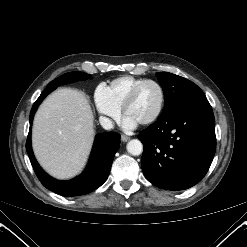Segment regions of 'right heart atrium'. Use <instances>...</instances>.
<instances>
[{"label":"right heart atrium","mask_w":247,"mask_h":247,"mask_svg":"<svg viewBox=\"0 0 247 247\" xmlns=\"http://www.w3.org/2000/svg\"><path fill=\"white\" fill-rule=\"evenodd\" d=\"M94 101L97 111L106 121L111 122L119 118L120 108L113 103L105 86L100 85L96 88Z\"/></svg>","instance_id":"right-heart-atrium-1"}]
</instances>
